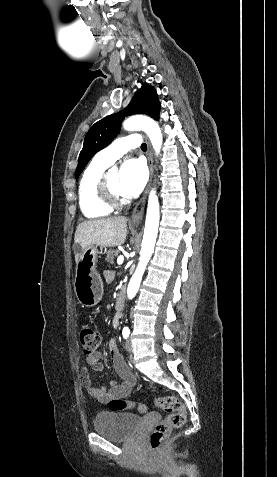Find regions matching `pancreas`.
<instances>
[{
    "label": "pancreas",
    "mask_w": 277,
    "mask_h": 477,
    "mask_svg": "<svg viewBox=\"0 0 277 477\" xmlns=\"http://www.w3.org/2000/svg\"><path fill=\"white\" fill-rule=\"evenodd\" d=\"M118 255V251L117 250H109L107 252V256H106V261L109 262V263H113L114 262V258Z\"/></svg>",
    "instance_id": "cf45deb5"
}]
</instances>
